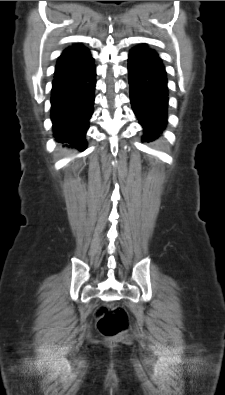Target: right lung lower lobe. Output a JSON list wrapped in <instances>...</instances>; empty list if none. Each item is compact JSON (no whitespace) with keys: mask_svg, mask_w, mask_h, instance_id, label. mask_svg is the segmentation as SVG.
<instances>
[{"mask_svg":"<svg viewBox=\"0 0 225 395\" xmlns=\"http://www.w3.org/2000/svg\"><path fill=\"white\" fill-rule=\"evenodd\" d=\"M95 65L55 72L51 91V120L58 142L86 149L85 135L93 113Z\"/></svg>","mask_w":225,"mask_h":395,"instance_id":"98d812e1","label":"right lung lower lobe"}]
</instances>
